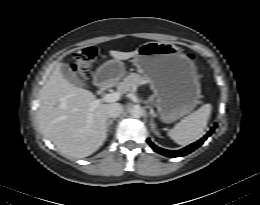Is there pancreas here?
Returning <instances> with one entry per match:
<instances>
[{
	"label": "pancreas",
	"mask_w": 260,
	"mask_h": 205,
	"mask_svg": "<svg viewBox=\"0 0 260 205\" xmlns=\"http://www.w3.org/2000/svg\"><path fill=\"white\" fill-rule=\"evenodd\" d=\"M145 78L139 74L131 73L124 78L122 82H119L117 85V90L119 93L124 94L131 90L133 87L144 84Z\"/></svg>",
	"instance_id": "pancreas-1"
}]
</instances>
